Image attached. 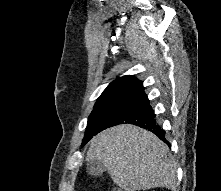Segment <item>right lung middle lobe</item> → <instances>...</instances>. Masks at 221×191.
<instances>
[{
	"mask_svg": "<svg viewBox=\"0 0 221 191\" xmlns=\"http://www.w3.org/2000/svg\"><path fill=\"white\" fill-rule=\"evenodd\" d=\"M116 102L118 101H110L94 106V109L88 118L87 128L82 146H84L94 135L99 133L103 120L108 115L110 109Z\"/></svg>",
	"mask_w": 221,
	"mask_h": 191,
	"instance_id": "1",
	"label": "right lung middle lobe"
}]
</instances>
